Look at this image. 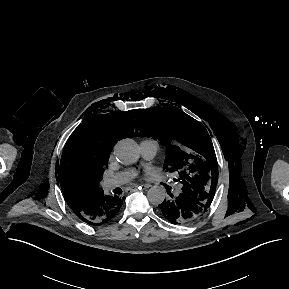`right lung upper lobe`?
<instances>
[{"label":"right lung upper lobe","mask_w":289,"mask_h":289,"mask_svg":"<svg viewBox=\"0 0 289 289\" xmlns=\"http://www.w3.org/2000/svg\"><path fill=\"white\" fill-rule=\"evenodd\" d=\"M132 118L129 111L96 115L81 123L68 139L56 172L66 202L74 213L103 191L99 182L114 144L122 135L134 134Z\"/></svg>","instance_id":"cb5924a9"}]
</instances>
